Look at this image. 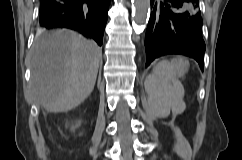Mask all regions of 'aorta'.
Here are the masks:
<instances>
[{
	"label": "aorta",
	"instance_id": "1",
	"mask_svg": "<svg viewBox=\"0 0 242 160\" xmlns=\"http://www.w3.org/2000/svg\"><path fill=\"white\" fill-rule=\"evenodd\" d=\"M133 20L137 26H144L150 15V0H133Z\"/></svg>",
	"mask_w": 242,
	"mask_h": 160
}]
</instances>
